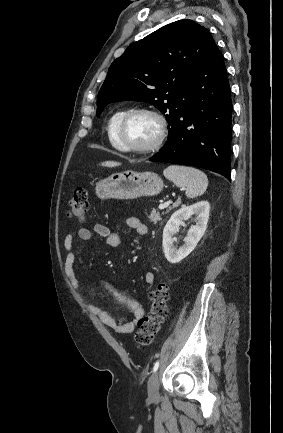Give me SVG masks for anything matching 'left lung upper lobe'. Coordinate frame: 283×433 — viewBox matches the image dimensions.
<instances>
[{"instance_id":"left-lung-upper-lobe-1","label":"left lung upper lobe","mask_w":283,"mask_h":433,"mask_svg":"<svg viewBox=\"0 0 283 433\" xmlns=\"http://www.w3.org/2000/svg\"><path fill=\"white\" fill-rule=\"evenodd\" d=\"M215 42L206 28L184 19L132 43L110 66L98 93L97 116L114 101L151 103L169 125L189 106V87Z\"/></svg>"}]
</instances>
